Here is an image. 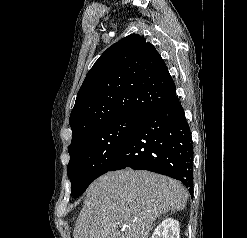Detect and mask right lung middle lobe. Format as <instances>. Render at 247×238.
<instances>
[{
    "label": "right lung middle lobe",
    "instance_id": "1",
    "mask_svg": "<svg viewBox=\"0 0 247 238\" xmlns=\"http://www.w3.org/2000/svg\"><path fill=\"white\" fill-rule=\"evenodd\" d=\"M141 118L140 115L118 117L72 140L67 167L71 196L83 194L93 180L109 170Z\"/></svg>",
    "mask_w": 247,
    "mask_h": 238
}]
</instances>
